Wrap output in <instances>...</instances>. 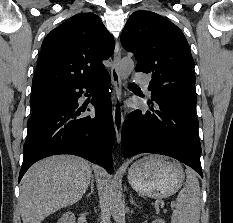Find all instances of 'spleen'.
Listing matches in <instances>:
<instances>
[{
	"mask_svg": "<svg viewBox=\"0 0 233 223\" xmlns=\"http://www.w3.org/2000/svg\"><path fill=\"white\" fill-rule=\"evenodd\" d=\"M200 195L199 181L194 171H188L187 181L177 195L171 223H199Z\"/></svg>",
	"mask_w": 233,
	"mask_h": 223,
	"instance_id": "obj_1",
	"label": "spleen"
}]
</instances>
